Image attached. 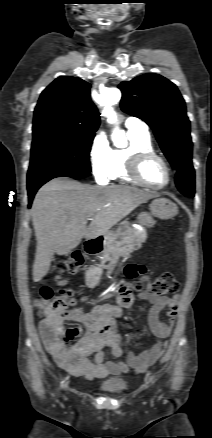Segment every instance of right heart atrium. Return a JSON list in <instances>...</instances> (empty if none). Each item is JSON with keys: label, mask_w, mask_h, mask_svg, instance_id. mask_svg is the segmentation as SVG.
Returning a JSON list of instances; mask_svg holds the SVG:
<instances>
[{"label": "right heart atrium", "mask_w": 212, "mask_h": 438, "mask_svg": "<svg viewBox=\"0 0 212 438\" xmlns=\"http://www.w3.org/2000/svg\"><path fill=\"white\" fill-rule=\"evenodd\" d=\"M88 157L95 179L99 183L106 182L111 169V149L104 132L100 131L93 137Z\"/></svg>", "instance_id": "d8ad5b80"}]
</instances>
